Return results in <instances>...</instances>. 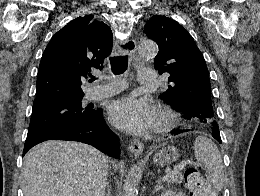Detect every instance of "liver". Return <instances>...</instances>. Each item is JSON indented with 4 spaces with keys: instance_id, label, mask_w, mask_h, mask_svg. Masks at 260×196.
<instances>
[{
    "instance_id": "obj_1",
    "label": "liver",
    "mask_w": 260,
    "mask_h": 196,
    "mask_svg": "<svg viewBox=\"0 0 260 196\" xmlns=\"http://www.w3.org/2000/svg\"><path fill=\"white\" fill-rule=\"evenodd\" d=\"M108 160L80 144L48 140L27 152L21 182L24 196H94L105 192Z\"/></svg>"
}]
</instances>
